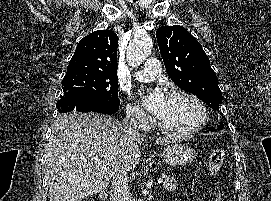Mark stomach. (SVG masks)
Wrapping results in <instances>:
<instances>
[{
    "label": "stomach",
    "mask_w": 271,
    "mask_h": 201,
    "mask_svg": "<svg viewBox=\"0 0 271 201\" xmlns=\"http://www.w3.org/2000/svg\"><path fill=\"white\" fill-rule=\"evenodd\" d=\"M163 158L170 166L185 165L191 163L197 156L196 151L186 145L171 144L164 148Z\"/></svg>",
    "instance_id": "1"
}]
</instances>
